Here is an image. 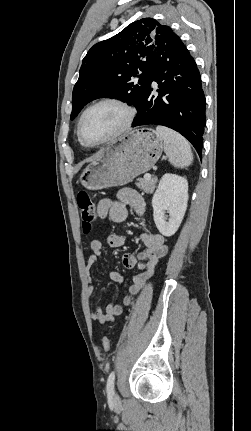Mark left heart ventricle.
I'll return each instance as SVG.
<instances>
[{
	"label": "left heart ventricle",
	"instance_id": "1",
	"mask_svg": "<svg viewBox=\"0 0 251 431\" xmlns=\"http://www.w3.org/2000/svg\"><path fill=\"white\" fill-rule=\"evenodd\" d=\"M124 111L115 105H101L90 110L82 124V134L90 143L99 142L114 133L124 122Z\"/></svg>",
	"mask_w": 251,
	"mask_h": 431
}]
</instances>
